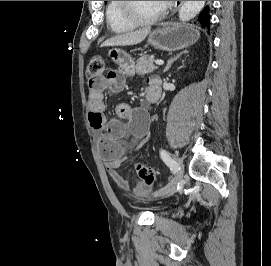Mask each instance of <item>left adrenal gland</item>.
<instances>
[{"label": "left adrenal gland", "mask_w": 271, "mask_h": 266, "mask_svg": "<svg viewBox=\"0 0 271 266\" xmlns=\"http://www.w3.org/2000/svg\"><path fill=\"white\" fill-rule=\"evenodd\" d=\"M186 53H188V51H187V50H184V51H182L181 53L177 54L174 58H171L170 60H168L167 65H166V67H165V69H164L163 72L169 71V69L171 68L172 64H173L178 58H180L183 54H186Z\"/></svg>", "instance_id": "1"}]
</instances>
